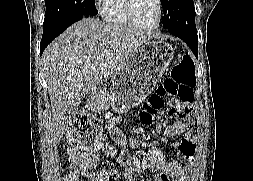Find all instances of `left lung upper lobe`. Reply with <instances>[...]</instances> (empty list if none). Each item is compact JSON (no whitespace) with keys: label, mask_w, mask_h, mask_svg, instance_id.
Here are the masks:
<instances>
[{"label":"left lung upper lobe","mask_w":253,"mask_h":181,"mask_svg":"<svg viewBox=\"0 0 253 181\" xmlns=\"http://www.w3.org/2000/svg\"><path fill=\"white\" fill-rule=\"evenodd\" d=\"M161 4L164 10V28L197 34L193 0H161Z\"/></svg>","instance_id":"5c2ea615"}]
</instances>
